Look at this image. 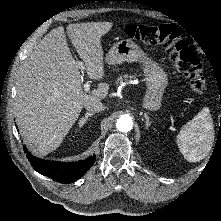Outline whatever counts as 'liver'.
<instances>
[{
  "mask_svg": "<svg viewBox=\"0 0 221 221\" xmlns=\"http://www.w3.org/2000/svg\"><path fill=\"white\" fill-rule=\"evenodd\" d=\"M112 26L111 22H87L69 24L66 28L90 79L105 76L101 38ZM79 69L62 26L45 35L20 66L16 82V123L33 152L48 153L58 148L83 106L107 96V83H100L90 94L85 92Z\"/></svg>",
  "mask_w": 221,
  "mask_h": 221,
  "instance_id": "6515ba94",
  "label": "liver"
}]
</instances>
